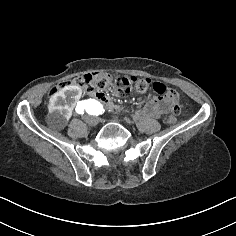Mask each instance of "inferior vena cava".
<instances>
[{"instance_id":"inferior-vena-cava-1","label":"inferior vena cava","mask_w":236,"mask_h":236,"mask_svg":"<svg viewBox=\"0 0 236 236\" xmlns=\"http://www.w3.org/2000/svg\"><path fill=\"white\" fill-rule=\"evenodd\" d=\"M82 120L89 126H95L98 124L99 119L96 116L82 115Z\"/></svg>"}]
</instances>
